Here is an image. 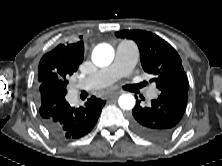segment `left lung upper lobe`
Segmentation results:
<instances>
[{"label": "left lung upper lobe", "instance_id": "1", "mask_svg": "<svg viewBox=\"0 0 222 166\" xmlns=\"http://www.w3.org/2000/svg\"><path fill=\"white\" fill-rule=\"evenodd\" d=\"M116 36L137 43L142 67L147 73L156 76L152 81H155L159 90L166 87L189 88L180 56L165 40L142 30L118 31Z\"/></svg>", "mask_w": 222, "mask_h": 166}]
</instances>
